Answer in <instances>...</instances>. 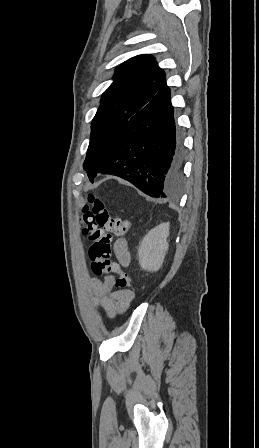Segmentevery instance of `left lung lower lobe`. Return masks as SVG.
<instances>
[{
  "label": "left lung lower lobe",
  "mask_w": 259,
  "mask_h": 448,
  "mask_svg": "<svg viewBox=\"0 0 259 448\" xmlns=\"http://www.w3.org/2000/svg\"><path fill=\"white\" fill-rule=\"evenodd\" d=\"M170 93L164 80L154 97L130 114L121 130L91 161L87 173L91 182L97 173L112 174L155 198H165L178 188L184 148Z\"/></svg>",
  "instance_id": "0a47b994"
}]
</instances>
